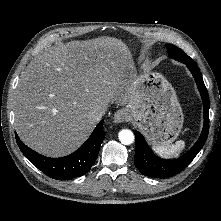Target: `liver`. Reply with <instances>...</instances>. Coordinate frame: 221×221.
Returning <instances> with one entry per match:
<instances>
[{
  "instance_id": "obj_1",
  "label": "liver",
  "mask_w": 221,
  "mask_h": 221,
  "mask_svg": "<svg viewBox=\"0 0 221 221\" xmlns=\"http://www.w3.org/2000/svg\"><path fill=\"white\" fill-rule=\"evenodd\" d=\"M132 55L122 40L70 41L38 54L21 73L14 97L15 128L33 150L68 155L90 136V114L133 96Z\"/></svg>"
}]
</instances>
